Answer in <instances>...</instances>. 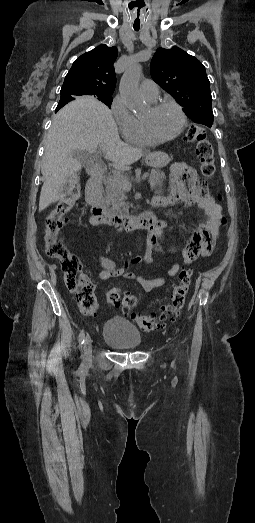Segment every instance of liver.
Here are the masks:
<instances>
[{
  "label": "liver",
  "mask_w": 255,
  "mask_h": 523,
  "mask_svg": "<svg viewBox=\"0 0 255 523\" xmlns=\"http://www.w3.org/2000/svg\"><path fill=\"white\" fill-rule=\"evenodd\" d=\"M98 146L104 150L105 160L113 162V168L120 172L131 170V164L143 156L142 150L121 142L111 110L92 96H81L55 114L41 166L45 182L40 192L39 212L63 200L66 196L63 190L71 182L72 174L80 172L82 166L72 158L73 152L83 150L93 154ZM156 154L162 160L166 156L163 152Z\"/></svg>",
  "instance_id": "6515ba94"
}]
</instances>
